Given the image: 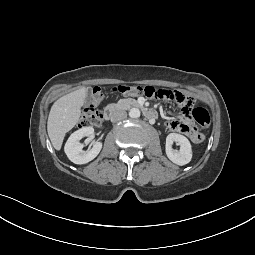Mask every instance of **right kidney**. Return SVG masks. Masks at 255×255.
Returning a JSON list of instances; mask_svg holds the SVG:
<instances>
[{
    "label": "right kidney",
    "instance_id": "1",
    "mask_svg": "<svg viewBox=\"0 0 255 255\" xmlns=\"http://www.w3.org/2000/svg\"><path fill=\"white\" fill-rule=\"evenodd\" d=\"M93 134L94 129L92 127H84L70 135L64 147V151L69 160L75 164H86L99 154L102 149L101 142H95L93 147L88 151L82 150L84 145L80 143V140L84 137L92 138Z\"/></svg>",
    "mask_w": 255,
    "mask_h": 255
}]
</instances>
